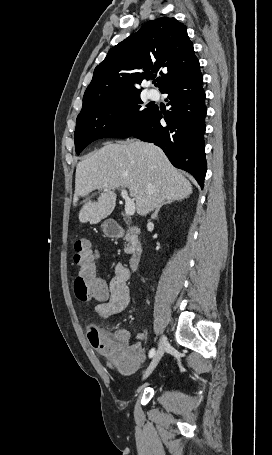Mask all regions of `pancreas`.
Segmentation results:
<instances>
[{
	"instance_id": "cf45deb5",
	"label": "pancreas",
	"mask_w": 272,
	"mask_h": 455,
	"mask_svg": "<svg viewBox=\"0 0 272 455\" xmlns=\"http://www.w3.org/2000/svg\"><path fill=\"white\" fill-rule=\"evenodd\" d=\"M130 240H131V239H130V236L127 235V236L125 237V241H126V242L132 243V246H129V244L126 245V247H125V249H124V251H125L126 254H131V253H133L134 250H135V248H136V247H139V243H138L137 241H130Z\"/></svg>"
}]
</instances>
